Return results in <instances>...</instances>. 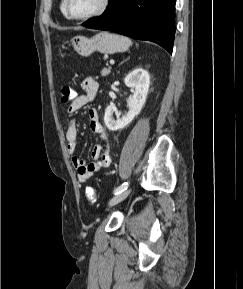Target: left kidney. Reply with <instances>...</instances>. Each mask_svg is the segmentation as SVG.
Here are the masks:
<instances>
[{
  "label": "left kidney",
  "mask_w": 243,
  "mask_h": 289,
  "mask_svg": "<svg viewBox=\"0 0 243 289\" xmlns=\"http://www.w3.org/2000/svg\"><path fill=\"white\" fill-rule=\"evenodd\" d=\"M125 85L133 90V96L128 101V112L115 120L112 116L116 110L114 105H109L105 110L104 123L111 131H116L127 126L140 112L145 104L149 86L150 75L141 68L133 70L125 77Z\"/></svg>",
  "instance_id": "1"
}]
</instances>
